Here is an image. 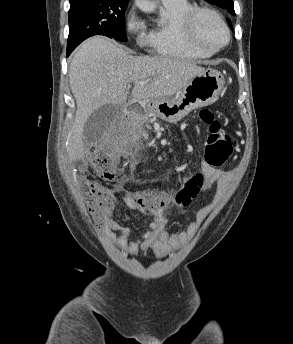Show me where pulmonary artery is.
I'll return each instance as SVG.
<instances>
[{
	"mask_svg": "<svg viewBox=\"0 0 293 344\" xmlns=\"http://www.w3.org/2000/svg\"><path fill=\"white\" fill-rule=\"evenodd\" d=\"M173 1H176V0H161L162 3H170V2H173Z\"/></svg>",
	"mask_w": 293,
	"mask_h": 344,
	"instance_id": "obj_1",
	"label": "pulmonary artery"
}]
</instances>
